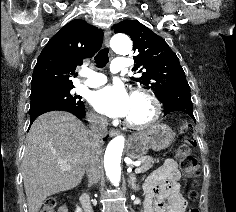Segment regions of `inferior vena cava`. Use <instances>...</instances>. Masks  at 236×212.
Instances as JSON below:
<instances>
[{
  "instance_id": "1",
  "label": "inferior vena cava",
  "mask_w": 236,
  "mask_h": 212,
  "mask_svg": "<svg viewBox=\"0 0 236 212\" xmlns=\"http://www.w3.org/2000/svg\"><path fill=\"white\" fill-rule=\"evenodd\" d=\"M90 133L92 137V153L89 158L86 173L89 185L98 183L101 177L100 173V145L102 138L107 135L108 121L105 117L92 115L89 119Z\"/></svg>"
}]
</instances>
